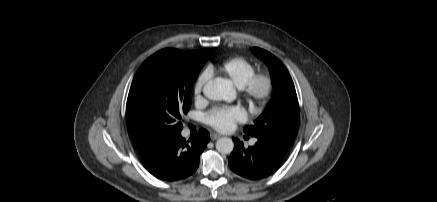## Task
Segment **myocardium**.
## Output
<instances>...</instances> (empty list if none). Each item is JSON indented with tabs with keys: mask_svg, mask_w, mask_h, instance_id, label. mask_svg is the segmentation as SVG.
<instances>
[{
	"mask_svg": "<svg viewBox=\"0 0 437 202\" xmlns=\"http://www.w3.org/2000/svg\"><path fill=\"white\" fill-rule=\"evenodd\" d=\"M240 90L252 106H259L266 102L272 94L273 79L267 72L254 73Z\"/></svg>",
	"mask_w": 437,
	"mask_h": 202,
	"instance_id": "obj_1",
	"label": "myocardium"
}]
</instances>
